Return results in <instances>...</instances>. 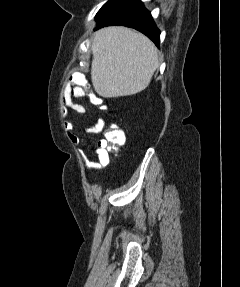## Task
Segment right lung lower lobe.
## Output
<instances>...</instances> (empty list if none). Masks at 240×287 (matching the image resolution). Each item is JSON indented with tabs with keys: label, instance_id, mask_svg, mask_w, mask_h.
<instances>
[{
	"label": "right lung lower lobe",
	"instance_id": "1",
	"mask_svg": "<svg viewBox=\"0 0 240 287\" xmlns=\"http://www.w3.org/2000/svg\"><path fill=\"white\" fill-rule=\"evenodd\" d=\"M96 20V29L110 25L131 27L145 34L159 46L160 31L140 0H111Z\"/></svg>",
	"mask_w": 240,
	"mask_h": 287
}]
</instances>
